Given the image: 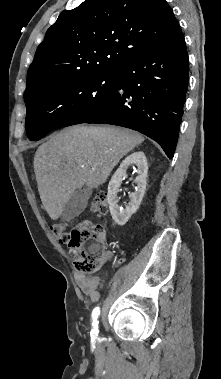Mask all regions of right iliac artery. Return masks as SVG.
Returning a JSON list of instances; mask_svg holds the SVG:
<instances>
[{
  "label": "right iliac artery",
  "instance_id": "1",
  "mask_svg": "<svg viewBox=\"0 0 221 379\" xmlns=\"http://www.w3.org/2000/svg\"><path fill=\"white\" fill-rule=\"evenodd\" d=\"M100 314V307H95L92 311L93 329L91 330V335H97L98 333V316Z\"/></svg>",
  "mask_w": 221,
  "mask_h": 379
}]
</instances>
